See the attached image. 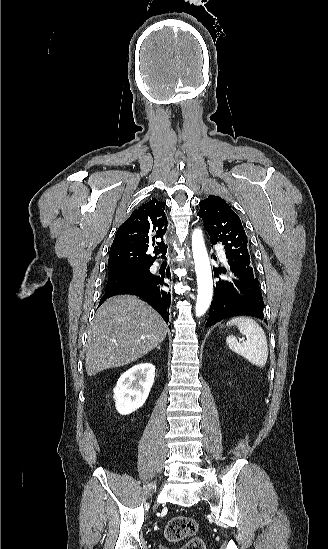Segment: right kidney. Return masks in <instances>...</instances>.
I'll use <instances>...</instances> for the list:
<instances>
[{"label":"right kidney","instance_id":"right-kidney-1","mask_svg":"<svg viewBox=\"0 0 328 549\" xmlns=\"http://www.w3.org/2000/svg\"><path fill=\"white\" fill-rule=\"evenodd\" d=\"M155 367L151 363H139L128 369L117 381L115 407L121 415H129L144 405L154 383Z\"/></svg>","mask_w":328,"mask_h":549}]
</instances>
